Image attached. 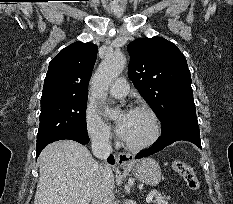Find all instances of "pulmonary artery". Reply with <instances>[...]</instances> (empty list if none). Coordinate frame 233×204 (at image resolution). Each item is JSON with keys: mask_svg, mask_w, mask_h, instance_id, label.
Segmentation results:
<instances>
[{"mask_svg": "<svg viewBox=\"0 0 233 204\" xmlns=\"http://www.w3.org/2000/svg\"><path fill=\"white\" fill-rule=\"evenodd\" d=\"M129 90L126 79L118 78L110 86V94L115 98H124Z\"/></svg>", "mask_w": 233, "mask_h": 204, "instance_id": "obj_1", "label": "pulmonary artery"}]
</instances>
